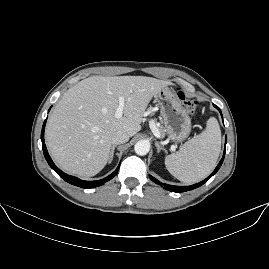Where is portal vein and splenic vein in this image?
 <instances>
[{"label": "portal vein and splenic vein", "instance_id": "1", "mask_svg": "<svg viewBox=\"0 0 269 269\" xmlns=\"http://www.w3.org/2000/svg\"><path fill=\"white\" fill-rule=\"evenodd\" d=\"M124 108H125V99H124V97H120L119 98V105L116 109V114H115L116 118H120L123 116ZM148 126L151 127L153 134L156 137H159V130L155 127V121L153 119H150L148 121Z\"/></svg>", "mask_w": 269, "mask_h": 269}]
</instances>
